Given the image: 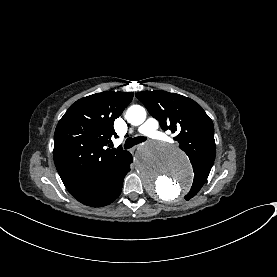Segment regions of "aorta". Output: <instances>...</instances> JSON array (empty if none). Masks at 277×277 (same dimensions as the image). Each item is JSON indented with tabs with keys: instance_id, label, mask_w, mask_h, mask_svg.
Instances as JSON below:
<instances>
[{
	"instance_id": "obj_1",
	"label": "aorta",
	"mask_w": 277,
	"mask_h": 277,
	"mask_svg": "<svg viewBox=\"0 0 277 277\" xmlns=\"http://www.w3.org/2000/svg\"><path fill=\"white\" fill-rule=\"evenodd\" d=\"M126 119L132 125H140L146 119V111L140 105H132L127 110ZM135 165L146 191L156 200L172 202L192 185L188 159L174 145L159 141L142 144Z\"/></svg>"
}]
</instances>
